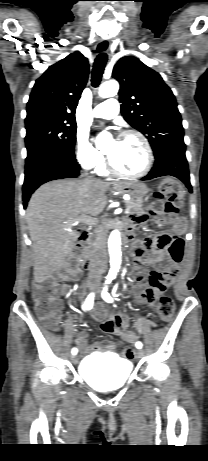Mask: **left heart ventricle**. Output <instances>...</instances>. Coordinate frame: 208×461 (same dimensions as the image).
<instances>
[{
  "label": "left heart ventricle",
  "mask_w": 208,
  "mask_h": 461,
  "mask_svg": "<svg viewBox=\"0 0 208 461\" xmlns=\"http://www.w3.org/2000/svg\"><path fill=\"white\" fill-rule=\"evenodd\" d=\"M105 152L121 172L135 174L146 164V152L141 141L134 137H120L107 142Z\"/></svg>",
  "instance_id": "obj_1"
}]
</instances>
